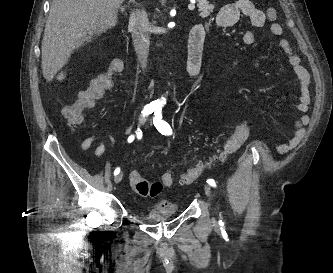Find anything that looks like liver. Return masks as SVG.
Wrapping results in <instances>:
<instances>
[{"label":"liver","mask_w":333,"mask_h":273,"mask_svg":"<svg viewBox=\"0 0 333 273\" xmlns=\"http://www.w3.org/2000/svg\"><path fill=\"white\" fill-rule=\"evenodd\" d=\"M124 0H53L42 40V73L52 81L73 50L117 24ZM58 80L65 79L61 73Z\"/></svg>","instance_id":"6515ba94"}]
</instances>
